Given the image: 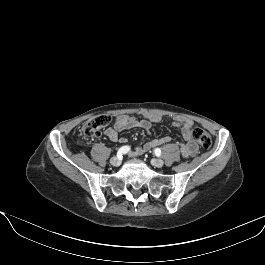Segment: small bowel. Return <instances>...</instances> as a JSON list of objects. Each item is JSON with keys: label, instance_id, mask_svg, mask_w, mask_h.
Wrapping results in <instances>:
<instances>
[{"label": "small bowel", "instance_id": "small-bowel-1", "mask_svg": "<svg viewBox=\"0 0 265 265\" xmlns=\"http://www.w3.org/2000/svg\"><path fill=\"white\" fill-rule=\"evenodd\" d=\"M161 119V115L148 111L143 112L141 118L122 114L117 116L114 119L112 126L105 130V135L113 142L126 143L127 138L120 137V132L131 128H140L146 133H149L151 131L152 124L160 122ZM172 123L175 127L180 129L182 137L185 140L180 144L182 155L186 158L194 156L198 151V146L193 141V121L185 116L177 115L173 117ZM169 141L170 137L168 136L154 138L142 145L135 147L130 152V155L140 156L151 148L166 144Z\"/></svg>", "mask_w": 265, "mask_h": 265}]
</instances>
